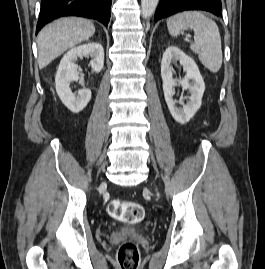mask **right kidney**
Segmentation results:
<instances>
[{
  "mask_svg": "<svg viewBox=\"0 0 265 269\" xmlns=\"http://www.w3.org/2000/svg\"><path fill=\"white\" fill-rule=\"evenodd\" d=\"M91 57L90 65L95 73H99L104 65V49L101 44L90 42L68 51L62 58L56 76V91L63 104L73 113L82 111L91 99V91L83 88L78 94L72 92L70 84L79 81L84 84V79L79 77L78 58Z\"/></svg>",
  "mask_w": 265,
  "mask_h": 269,
  "instance_id": "ca27d5eb",
  "label": "right kidney"
}]
</instances>
